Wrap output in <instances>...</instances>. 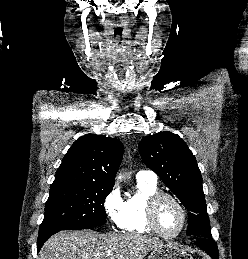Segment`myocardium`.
<instances>
[{"label":"myocardium","instance_id":"myocardium-1","mask_svg":"<svg viewBox=\"0 0 248 259\" xmlns=\"http://www.w3.org/2000/svg\"><path fill=\"white\" fill-rule=\"evenodd\" d=\"M163 199L172 200L178 206V208L180 209V212L182 214L181 227L174 234H167V233L163 232V230L160 228L158 220H157V209H158L160 202ZM147 220H148L150 227L156 234H158L159 236L166 238V239H173V238L178 237L184 231V229L187 225L188 216H187V211H186L184 205L176 196H174L173 194H170L168 192L158 191L155 194H153L148 200Z\"/></svg>","mask_w":248,"mask_h":259}]
</instances>
